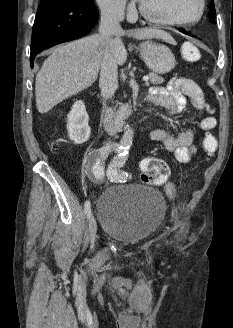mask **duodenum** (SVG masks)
<instances>
[{
    "label": "duodenum",
    "instance_id": "obj_1",
    "mask_svg": "<svg viewBox=\"0 0 233 328\" xmlns=\"http://www.w3.org/2000/svg\"><path fill=\"white\" fill-rule=\"evenodd\" d=\"M136 107L135 103H127L124 105L123 107V111H122V116L120 119H116L107 109L106 107L102 106L101 109V121L104 125V127L112 132V133H116L120 127L122 126L123 123V119H125L126 117H128L132 111L134 110V108Z\"/></svg>",
    "mask_w": 233,
    "mask_h": 328
}]
</instances>
